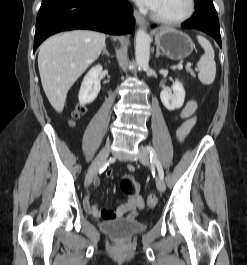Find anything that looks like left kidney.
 Masks as SVG:
<instances>
[{"mask_svg": "<svg viewBox=\"0 0 247 265\" xmlns=\"http://www.w3.org/2000/svg\"><path fill=\"white\" fill-rule=\"evenodd\" d=\"M172 91L173 93L164 89L160 93V99L169 111L181 108L185 100V89L178 80L173 84Z\"/></svg>", "mask_w": 247, "mask_h": 265, "instance_id": "obj_1", "label": "left kidney"}]
</instances>
